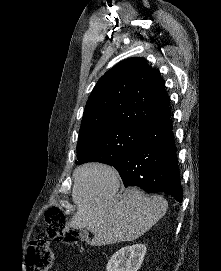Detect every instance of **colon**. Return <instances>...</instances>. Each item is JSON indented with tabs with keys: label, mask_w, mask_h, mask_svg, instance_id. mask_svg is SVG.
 I'll return each instance as SVG.
<instances>
[{
	"label": "colon",
	"mask_w": 221,
	"mask_h": 271,
	"mask_svg": "<svg viewBox=\"0 0 221 271\" xmlns=\"http://www.w3.org/2000/svg\"><path fill=\"white\" fill-rule=\"evenodd\" d=\"M44 219L47 223L48 238L55 242H76L80 233L67 226L65 212L58 206L45 210ZM55 255L49 241L43 236H35L25 254L26 271H49L54 263Z\"/></svg>",
	"instance_id": "colon-1"
}]
</instances>
